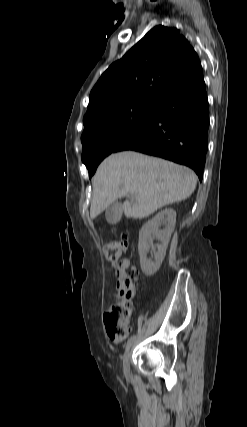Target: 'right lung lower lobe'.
I'll return each mask as SVG.
<instances>
[{"instance_id": "right-lung-lower-lobe-1", "label": "right lung lower lobe", "mask_w": 247, "mask_h": 427, "mask_svg": "<svg viewBox=\"0 0 247 427\" xmlns=\"http://www.w3.org/2000/svg\"><path fill=\"white\" fill-rule=\"evenodd\" d=\"M209 104L203 74L170 93L151 120L116 152L133 150L192 168L202 181L208 150Z\"/></svg>"}]
</instances>
